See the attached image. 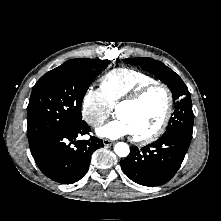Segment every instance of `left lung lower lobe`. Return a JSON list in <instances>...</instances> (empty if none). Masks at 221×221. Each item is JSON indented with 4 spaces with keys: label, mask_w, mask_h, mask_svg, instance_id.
<instances>
[{
    "label": "left lung lower lobe",
    "mask_w": 221,
    "mask_h": 221,
    "mask_svg": "<svg viewBox=\"0 0 221 221\" xmlns=\"http://www.w3.org/2000/svg\"><path fill=\"white\" fill-rule=\"evenodd\" d=\"M190 142L178 135H162L142 149L132 147L130 154L121 162V168L140 185H162L178 171Z\"/></svg>",
    "instance_id": "left-lung-lower-lobe-1"
}]
</instances>
